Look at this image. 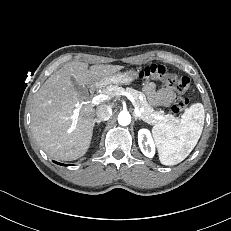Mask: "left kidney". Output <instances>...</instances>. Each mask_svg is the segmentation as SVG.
Listing matches in <instances>:
<instances>
[{"label": "left kidney", "instance_id": "1", "mask_svg": "<svg viewBox=\"0 0 231 231\" xmlns=\"http://www.w3.org/2000/svg\"><path fill=\"white\" fill-rule=\"evenodd\" d=\"M138 144L142 153L152 158L155 154V144L152 139L151 133L147 129H140L138 132Z\"/></svg>", "mask_w": 231, "mask_h": 231}]
</instances>
